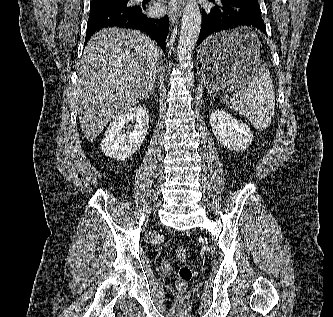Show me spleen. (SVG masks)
<instances>
[{
	"mask_svg": "<svg viewBox=\"0 0 333 317\" xmlns=\"http://www.w3.org/2000/svg\"><path fill=\"white\" fill-rule=\"evenodd\" d=\"M233 36L244 47L259 45L257 35L250 28H237ZM239 88L229 102L230 108L248 119L258 131L268 128L275 112V91L268 69L260 65Z\"/></svg>",
	"mask_w": 333,
	"mask_h": 317,
	"instance_id": "spleen-1",
	"label": "spleen"
}]
</instances>
